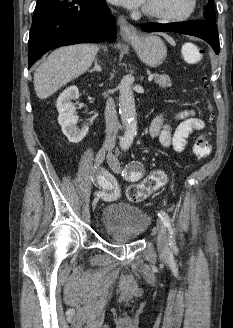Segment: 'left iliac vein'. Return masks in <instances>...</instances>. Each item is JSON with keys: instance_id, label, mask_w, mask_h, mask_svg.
Returning <instances> with one entry per match:
<instances>
[{"instance_id": "obj_1", "label": "left iliac vein", "mask_w": 233, "mask_h": 328, "mask_svg": "<svg viewBox=\"0 0 233 328\" xmlns=\"http://www.w3.org/2000/svg\"><path fill=\"white\" fill-rule=\"evenodd\" d=\"M107 162L110 166V168L115 173L121 172V164L118 160V158L112 154L109 153L107 155ZM156 229H157V247L159 250V253L163 256H166L168 254L169 246H168V236L165 229V226L161 220H157L156 222Z\"/></svg>"}]
</instances>
